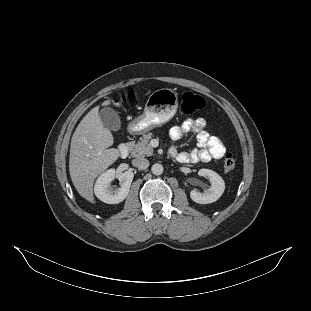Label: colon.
<instances>
[{
    "instance_id": "colon-1",
    "label": "colon",
    "mask_w": 311,
    "mask_h": 311,
    "mask_svg": "<svg viewBox=\"0 0 311 311\" xmlns=\"http://www.w3.org/2000/svg\"><path fill=\"white\" fill-rule=\"evenodd\" d=\"M205 106L204 99L193 93V92H185L182 96V103H181V109L183 113L187 115L194 114L201 109H203ZM236 164V160L234 156L230 153H228L224 160H223V169L224 171L228 172L234 169Z\"/></svg>"
}]
</instances>
